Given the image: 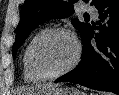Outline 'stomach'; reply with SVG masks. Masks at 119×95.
Masks as SVG:
<instances>
[{
	"label": "stomach",
	"mask_w": 119,
	"mask_h": 95,
	"mask_svg": "<svg viewBox=\"0 0 119 95\" xmlns=\"http://www.w3.org/2000/svg\"><path fill=\"white\" fill-rule=\"evenodd\" d=\"M25 95H85L78 89L75 88H39L35 91L27 92Z\"/></svg>",
	"instance_id": "1"
}]
</instances>
